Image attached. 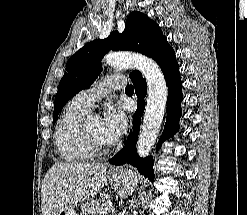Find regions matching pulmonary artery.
<instances>
[{"label":"pulmonary artery","mask_w":247,"mask_h":215,"mask_svg":"<svg viewBox=\"0 0 247 215\" xmlns=\"http://www.w3.org/2000/svg\"><path fill=\"white\" fill-rule=\"evenodd\" d=\"M126 81V77L121 75L107 76L91 87L80 91L73 100L77 105L88 110L94 102L101 99L107 92L123 88Z\"/></svg>","instance_id":"pulmonary-artery-1"}]
</instances>
